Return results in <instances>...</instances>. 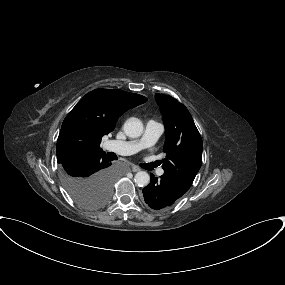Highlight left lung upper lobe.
I'll return each mask as SVG.
<instances>
[{
    "instance_id": "5c2ea615",
    "label": "left lung upper lobe",
    "mask_w": 285,
    "mask_h": 285,
    "mask_svg": "<svg viewBox=\"0 0 285 285\" xmlns=\"http://www.w3.org/2000/svg\"><path fill=\"white\" fill-rule=\"evenodd\" d=\"M165 125V173L189 189L202 163V138L187 108L175 98L156 94Z\"/></svg>"
}]
</instances>
